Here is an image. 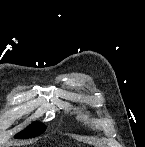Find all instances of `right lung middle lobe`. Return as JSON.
Segmentation results:
<instances>
[{
    "instance_id": "1",
    "label": "right lung middle lobe",
    "mask_w": 145,
    "mask_h": 147,
    "mask_svg": "<svg viewBox=\"0 0 145 147\" xmlns=\"http://www.w3.org/2000/svg\"><path fill=\"white\" fill-rule=\"evenodd\" d=\"M45 125L43 123H33L22 132L18 133L15 138H30L37 136L45 131Z\"/></svg>"
}]
</instances>
